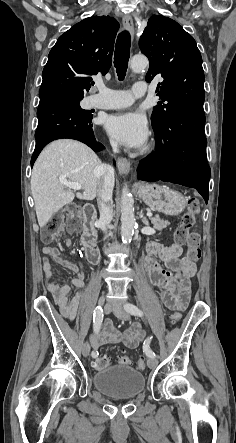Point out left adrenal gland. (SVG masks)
Masks as SVG:
<instances>
[{
	"instance_id": "left-adrenal-gland-1",
	"label": "left adrenal gland",
	"mask_w": 236,
	"mask_h": 443,
	"mask_svg": "<svg viewBox=\"0 0 236 443\" xmlns=\"http://www.w3.org/2000/svg\"><path fill=\"white\" fill-rule=\"evenodd\" d=\"M139 219L142 220V222H143V224H144L145 226H149V222H148V220L144 217V215H143V211H142V210H141V212H140V214H139Z\"/></svg>"
}]
</instances>
